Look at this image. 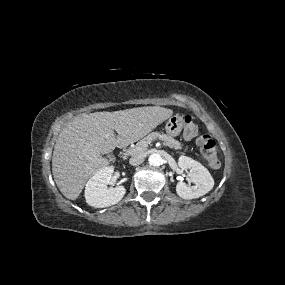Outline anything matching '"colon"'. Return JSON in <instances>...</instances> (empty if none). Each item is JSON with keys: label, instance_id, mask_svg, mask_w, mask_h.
Masks as SVG:
<instances>
[{"label": "colon", "instance_id": "5ec220e1", "mask_svg": "<svg viewBox=\"0 0 285 285\" xmlns=\"http://www.w3.org/2000/svg\"><path fill=\"white\" fill-rule=\"evenodd\" d=\"M184 137L192 139L197 137V143L201 148L203 156L208 161L210 167L214 170L220 168V160L217 154V147L215 141L207 133L198 135V126L190 115L184 117Z\"/></svg>", "mask_w": 285, "mask_h": 285}]
</instances>
